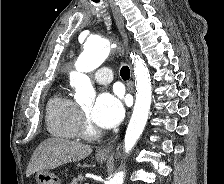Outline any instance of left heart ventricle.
<instances>
[{"instance_id": "obj_1", "label": "left heart ventricle", "mask_w": 224, "mask_h": 184, "mask_svg": "<svg viewBox=\"0 0 224 184\" xmlns=\"http://www.w3.org/2000/svg\"><path fill=\"white\" fill-rule=\"evenodd\" d=\"M90 106H86V107H84V111L86 112V113H89L90 112Z\"/></svg>"}]
</instances>
